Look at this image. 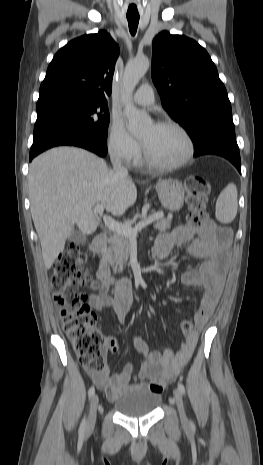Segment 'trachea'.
<instances>
[{"instance_id":"3493384b","label":"trachea","mask_w":263,"mask_h":465,"mask_svg":"<svg viewBox=\"0 0 263 465\" xmlns=\"http://www.w3.org/2000/svg\"><path fill=\"white\" fill-rule=\"evenodd\" d=\"M129 30L132 35H135L139 23V16H127Z\"/></svg>"}]
</instances>
